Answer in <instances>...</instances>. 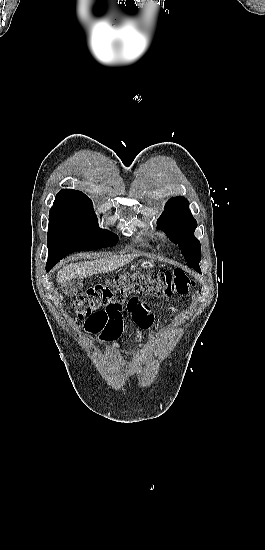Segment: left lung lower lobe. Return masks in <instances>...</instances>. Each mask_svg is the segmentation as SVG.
Wrapping results in <instances>:
<instances>
[{"label":"left lung lower lobe","instance_id":"obj_1","mask_svg":"<svg viewBox=\"0 0 265 550\" xmlns=\"http://www.w3.org/2000/svg\"><path fill=\"white\" fill-rule=\"evenodd\" d=\"M196 271H198L199 273H201V271H200V270H196Z\"/></svg>","mask_w":265,"mask_h":550}]
</instances>
